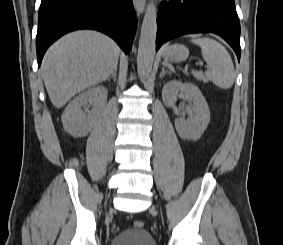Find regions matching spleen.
<instances>
[{"mask_svg": "<svg viewBox=\"0 0 283 245\" xmlns=\"http://www.w3.org/2000/svg\"><path fill=\"white\" fill-rule=\"evenodd\" d=\"M194 44L201 47L203 59L208 64L204 77L221 89L233 86L235 70L232 59L225 47L208 37H193Z\"/></svg>", "mask_w": 283, "mask_h": 245, "instance_id": "obj_1", "label": "spleen"}]
</instances>
